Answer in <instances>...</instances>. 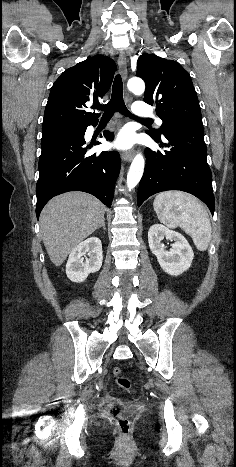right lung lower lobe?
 Returning a JSON list of instances; mask_svg holds the SVG:
<instances>
[{
    "label": "right lung lower lobe",
    "instance_id": "98d812e1",
    "mask_svg": "<svg viewBox=\"0 0 236 467\" xmlns=\"http://www.w3.org/2000/svg\"><path fill=\"white\" fill-rule=\"evenodd\" d=\"M85 131L86 128L82 132L41 141L39 179L36 185L37 218L52 197L68 191L90 193L111 207L121 167L119 153L104 151L87 156L86 152L93 144L85 146ZM104 137L113 140L114 135L105 131ZM97 144L100 142L94 143Z\"/></svg>",
    "mask_w": 236,
    "mask_h": 467
}]
</instances>
